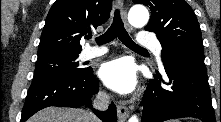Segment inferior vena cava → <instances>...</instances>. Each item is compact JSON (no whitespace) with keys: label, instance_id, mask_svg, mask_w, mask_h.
I'll return each instance as SVG.
<instances>
[{"label":"inferior vena cava","instance_id":"1","mask_svg":"<svg viewBox=\"0 0 221 122\" xmlns=\"http://www.w3.org/2000/svg\"><path fill=\"white\" fill-rule=\"evenodd\" d=\"M110 103V97L104 92H99L93 102V106L98 110H106Z\"/></svg>","mask_w":221,"mask_h":122}]
</instances>
